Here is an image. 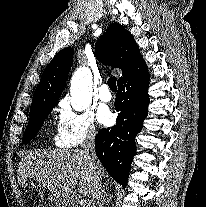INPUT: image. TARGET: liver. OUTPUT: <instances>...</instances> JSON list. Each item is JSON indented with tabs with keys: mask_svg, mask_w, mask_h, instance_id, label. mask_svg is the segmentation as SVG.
Returning <instances> with one entry per match:
<instances>
[{
	"mask_svg": "<svg viewBox=\"0 0 206 207\" xmlns=\"http://www.w3.org/2000/svg\"><path fill=\"white\" fill-rule=\"evenodd\" d=\"M28 178L48 189L57 207L72 203L76 186L83 197L91 199L94 195V173L83 150H39L25 155L19 165V184L23 186ZM102 179L109 181V175L101 166Z\"/></svg>",
	"mask_w": 206,
	"mask_h": 207,
	"instance_id": "1",
	"label": "liver"
}]
</instances>
